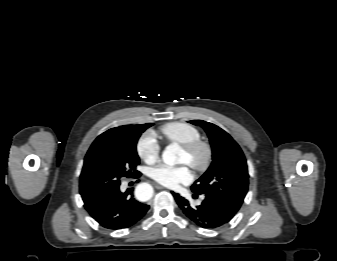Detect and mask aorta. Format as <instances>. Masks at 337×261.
Returning <instances> with one entry per match:
<instances>
[{
  "label": "aorta",
  "mask_w": 337,
  "mask_h": 261,
  "mask_svg": "<svg viewBox=\"0 0 337 261\" xmlns=\"http://www.w3.org/2000/svg\"><path fill=\"white\" fill-rule=\"evenodd\" d=\"M181 152V148L177 143L168 145L162 154L163 162L167 165H175L179 163L178 155ZM153 188L148 183H140L135 188V196L141 201H147L152 197Z\"/></svg>",
  "instance_id": "obj_1"
}]
</instances>
